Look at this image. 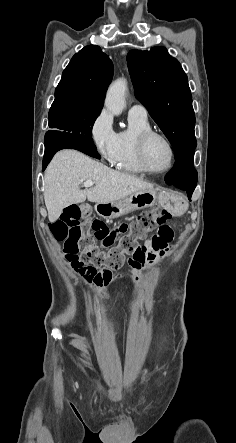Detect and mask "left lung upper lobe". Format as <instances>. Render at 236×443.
Wrapping results in <instances>:
<instances>
[{
	"label": "left lung upper lobe",
	"mask_w": 236,
	"mask_h": 443,
	"mask_svg": "<svg viewBox=\"0 0 236 443\" xmlns=\"http://www.w3.org/2000/svg\"><path fill=\"white\" fill-rule=\"evenodd\" d=\"M128 68L137 99L170 141L175 158L195 149V115L188 78L164 47L131 50Z\"/></svg>",
	"instance_id": "left-lung-upper-lobe-1"
}]
</instances>
